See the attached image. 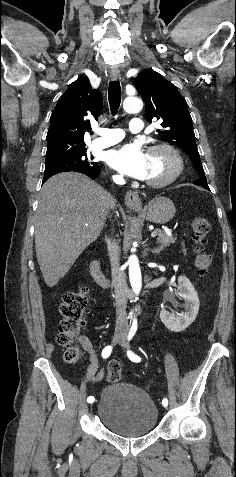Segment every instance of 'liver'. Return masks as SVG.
<instances>
[{"label": "liver", "instance_id": "liver-1", "mask_svg": "<svg viewBox=\"0 0 236 477\" xmlns=\"http://www.w3.org/2000/svg\"><path fill=\"white\" fill-rule=\"evenodd\" d=\"M114 205L106 190L79 173H60L44 183L35 217V247L47 286H55L100 236Z\"/></svg>", "mask_w": 236, "mask_h": 477}]
</instances>
